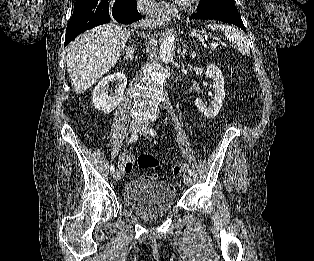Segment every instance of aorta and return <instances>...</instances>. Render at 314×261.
<instances>
[{"label":"aorta","mask_w":314,"mask_h":261,"mask_svg":"<svg viewBox=\"0 0 314 261\" xmlns=\"http://www.w3.org/2000/svg\"><path fill=\"white\" fill-rule=\"evenodd\" d=\"M174 36L167 35L160 46V58L163 63L168 64L173 60Z\"/></svg>","instance_id":"aorta-1"}]
</instances>
